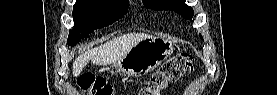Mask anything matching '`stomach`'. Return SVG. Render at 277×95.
<instances>
[{
  "mask_svg": "<svg viewBox=\"0 0 277 95\" xmlns=\"http://www.w3.org/2000/svg\"><path fill=\"white\" fill-rule=\"evenodd\" d=\"M172 43L159 37L139 41L120 60L114 63L119 74L140 77L157 68L172 53Z\"/></svg>",
  "mask_w": 277,
  "mask_h": 95,
  "instance_id": "0dacf381",
  "label": "stomach"
}]
</instances>
